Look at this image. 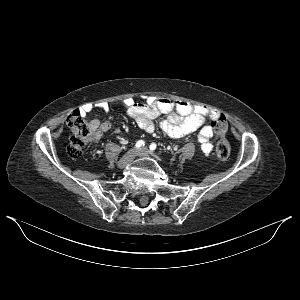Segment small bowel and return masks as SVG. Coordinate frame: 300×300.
I'll list each match as a JSON object with an SVG mask.
<instances>
[{"instance_id": "small-bowel-1", "label": "small bowel", "mask_w": 300, "mask_h": 300, "mask_svg": "<svg viewBox=\"0 0 300 300\" xmlns=\"http://www.w3.org/2000/svg\"><path fill=\"white\" fill-rule=\"evenodd\" d=\"M122 105L126 108L127 115L146 133H152L158 127L167 136L179 138L197 131L201 150L204 153H210L213 149V140L217 135L205 122L209 115L216 112L209 106L192 105L183 100L155 96H147L143 102L127 98L122 101ZM94 107L105 112L109 110L108 103L103 102L95 106L86 103L82 106L81 112L85 115ZM160 115H165V118L157 122L156 119ZM110 126L108 120L101 121L98 118L90 120L91 133L95 140H100Z\"/></svg>"}]
</instances>
